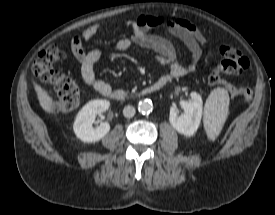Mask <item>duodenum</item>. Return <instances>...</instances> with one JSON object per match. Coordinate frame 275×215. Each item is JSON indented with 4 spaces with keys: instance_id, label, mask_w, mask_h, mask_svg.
Returning a JSON list of instances; mask_svg holds the SVG:
<instances>
[{
    "instance_id": "410a0bca",
    "label": "duodenum",
    "mask_w": 275,
    "mask_h": 215,
    "mask_svg": "<svg viewBox=\"0 0 275 215\" xmlns=\"http://www.w3.org/2000/svg\"><path fill=\"white\" fill-rule=\"evenodd\" d=\"M168 83V79L161 78L151 85L146 86L140 94L148 95L161 90ZM108 98L114 101H124L127 98V94L123 90H113L106 95Z\"/></svg>"
}]
</instances>
